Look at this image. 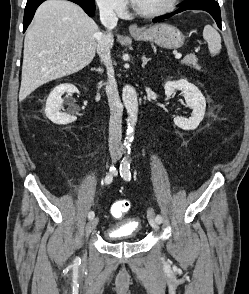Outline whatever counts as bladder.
Returning a JSON list of instances; mask_svg holds the SVG:
<instances>
[{"instance_id":"obj_1","label":"bladder","mask_w":249,"mask_h":294,"mask_svg":"<svg viewBox=\"0 0 249 294\" xmlns=\"http://www.w3.org/2000/svg\"><path fill=\"white\" fill-rule=\"evenodd\" d=\"M141 232V227L135 224L131 219H124L118 225L108 230L105 233L107 241H114L119 239L135 240Z\"/></svg>"}]
</instances>
